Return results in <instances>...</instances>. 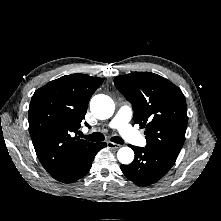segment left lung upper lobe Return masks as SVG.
I'll use <instances>...</instances> for the list:
<instances>
[{
  "mask_svg": "<svg viewBox=\"0 0 221 221\" xmlns=\"http://www.w3.org/2000/svg\"><path fill=\"white\" fill-rule=\"evenodd\" d=\"M114 84L132 104L135 124L146 129L147 147L178 157L188 122L182 91L150 72L117 76Z\"/></svg>",
  "mask_w": 221,
  "mask_h": 221,
  "instance_id": "left-lung-upper-lobe-1",
  "label": "left lung upper lobe"
}]
</instances>
